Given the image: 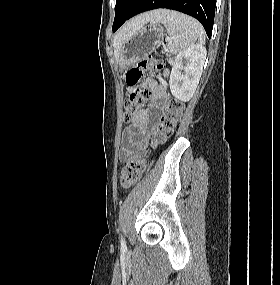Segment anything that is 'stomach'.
<instances>
[{
	"label": "stomach",
	"instance_id": "1",
	"mask_svg": "<svg viewBox=\"0 0 280 285\" xmlns=\"http://www.w3.org/2000/svg\"><path fill=\"white\" fill-rule=\"evenodd\" d=\"M164 40V29L159 23L151 22L142 27L124 41L119 53L121 69H127L131 64L144 59L159 47Z\"/></svg>",
	"mask_w": 280,
	"mask_h": 285
}]
</instances>
